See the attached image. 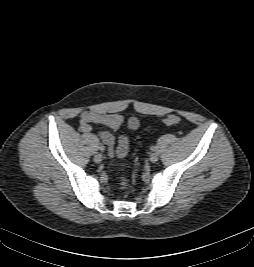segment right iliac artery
<instances>
[{
    "mask_svg": "<svg viewBox=\"0 0 254 267\" xmlns=\"http://www.w3.org/2000/svg\"><path fill=\"white\" fill-rule=\"evenodd\" d=\"M98 149H99L100 151H103V150H105V147L102 146V145H100V146H98Z\"/></svg>",
    "mask_w": 254,
    "mask_h": 267,
    "instance_id": "right-iliac-artery-1",
    "label": "right iliac artery"
}]
</instances>
